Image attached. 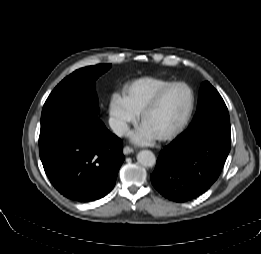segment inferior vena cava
<instances>
[{
  "label": "inferior vena cava",
  "mask_w": 261,
  "mask_h": 254,
  "mask_svg": "<svg viewBox=\"0 0 261 254\" xmlns=\"http://www.w3.org/2000/svg\"><path fill=\"white\" fill-rule=\"evenodd\" d=\"M109 125L112 131L117 135V136H124L127 131H128V126L127 124L117 118L111 117L109 119Z\"/></svg>",
  "instance_id": "inferior-vena-cava-1"
}]
</instances>
